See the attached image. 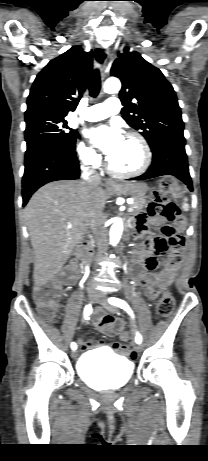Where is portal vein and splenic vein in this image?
<instances>
[{
    "mask_svg": "<svg viewBox=\"0 0 208 461\" xmlns=\"http://www.w3.org/2000/svg\"><path fill=\"white\" fill-rule=\"evenodd\" d=\"M127 202H128V204L130 205V207L128 208V211L130 212V211L133 210V208L131 207V205H133V202H132V201H129V200H128Z\"/></svg>",
    "mask_w": 208,
    "mask_h": 461,
    "instance_id": "1",
    "label": "portal vein and splenic vein"
}]
</instances>
